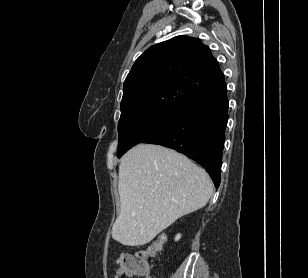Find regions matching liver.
<instances>
[{"label":"liver","mask_w":308,"mask_h":278,"mask_svg":"<svg viewBox=\"0 0 308 278\" xmlns=\"http://www.w3.org/2000/svg\"><path fill=\"white\" fill-rule=\"evenodd\" d=\"M118 191L121 210L112 238L138 246L204 207L212 183L207 172L183 154L160 145L138 144L121 158Z\"/></svg>","instance_id":"liver-1"}]
</instances>
